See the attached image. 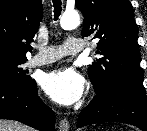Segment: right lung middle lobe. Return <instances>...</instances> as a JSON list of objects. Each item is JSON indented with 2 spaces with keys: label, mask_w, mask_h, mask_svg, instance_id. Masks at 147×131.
<instances>
[{
  "label": "right lung middle lobe",
  "mask_w": 147,
  "mask_h": 131,
  "mask_svg": "<svg viewBox=\"0 0 147 131\" xmlns=\"http://www.w3.org/2000/svg\"><path fill=\"white\" fill-rule=\"evenodd\" d=\"M27 59H17L0 56V84L19 85L32 81L26 76L27 71L22 65Z\"/></svg>",
  "instance_id": "right-lung-middle-lobe-1"
}]
</instances>
